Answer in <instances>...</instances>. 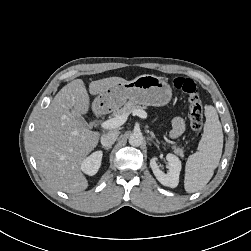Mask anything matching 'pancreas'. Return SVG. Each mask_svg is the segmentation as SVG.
I'll return each mask as SVG.
<instances>
[{
  "instance_id": "1",
  "label": "pancreas",
  "mask_w": 251,
  "mask_h": 251,
  "mask_svg": "<svg viewBox=\"0 0 251 251\" xmlns=\"http://www.w3.org/2000/svg\"><path fill=\"white\" fill-rule=\"evenodd\" d=\"M145 109V107H141L140 105H136L135 103L128 101L124 104L123 107L121 108H117L113 111V116H119V115H123V114H130L135 110H143ZM172 149L174 151L175 154L179 155L181 158L184 157V149L181 147H177V146H172Z\"/></svg>"
}]
</instances>
